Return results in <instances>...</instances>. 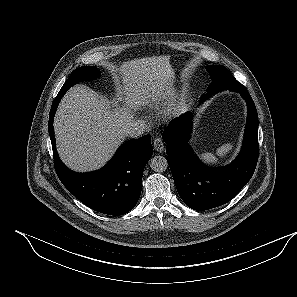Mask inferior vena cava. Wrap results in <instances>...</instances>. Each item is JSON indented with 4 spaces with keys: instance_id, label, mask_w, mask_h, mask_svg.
Wrapping results in <instances>:
<instances>
[{
    "instance_id": "obj_1",
    "label": "inferior vena cava",
    "mask_w": 297,
    "mask_h": 297,
    "mask_svg": "<svg viewBox=\"0 0 297 297\" xmlns=\"http://www.w3.org/2000/svg\"><path fill=\"white\" fill-rule=\"evenodd\" d=\"M123 131L126 136L137 138L145 132V123L141 120H133Z\"/></svg>"
}]
</instances>
